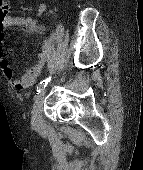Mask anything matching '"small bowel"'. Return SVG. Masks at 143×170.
Segmentation results:
<instances>
[{"instance_id": "small-bowel-1", "label": "small bowel", "mask_w": 143, "mask_h": 170, "mask_svg": "<svg viewBox=\"0 0 143 170\" xmlns=\"http://www.w3.org/2000/svg\"><path fill=\"white\" fill-rule=\"evenodd\" d=\"M46 10L47 5L45 3H41L38 9L39 15L43 14ZM11 27H21L23 28V33L28 35L43 34L45 28L39 25L36 19L30 16H13L7 14L4 18H0V67L5 77L10 80L15 89L24 90L31 87L40 76L46 55L42 54L39 61L28 67L19 79L15 78V73L8 60L5 58L3 51V43L6 37L5 31Z\"/></svg>"}]
</instances>
